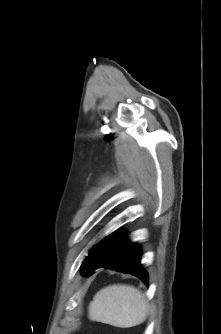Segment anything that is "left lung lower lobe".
Returning <instances> with one entry per match:
<instances>
[{
	"instance_id": "left-lung-lower-lobe-1",
	"label": "left lung lower lobe",
	"mask_w": 221,
	"mask_h": 334,
	"mask_svg": "<svg viewBox=\"0 0 221 334\" xmlns=\"http://www.w3.org/2000/svg\"><path fill=\"white\" fill-rule=\"evenodd\" d=\"M141 249L129 243L122 232H114L94 249L93 263L81 268L82 275H91L97 268H109L131 273L148 284L147 272L140 265Z\"/></svg>"
}]
</instances>
